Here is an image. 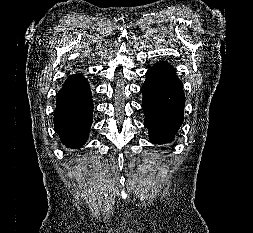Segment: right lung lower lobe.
<instances>
[{"mask_svg":"<svg viewBox=\"0 0 253 233\" xmlns=\"http://www.w3.org/2000/svg\"><path fill=\"white\" fill-rule=\"evenodd\" d=\"M93 103L87 80L80 74L67 78L57 94L54 127L67 147L79 148L88 138Z\"/></svg>","mask_w":253,"mask_h":233,"instance_id":"1","label":"right lung lower lobe"}]
</instances>
